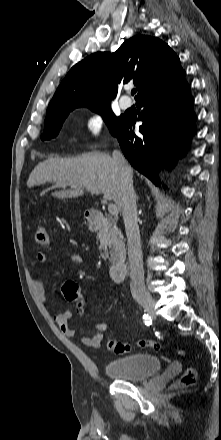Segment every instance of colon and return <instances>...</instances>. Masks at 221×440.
<instances>
[{
  "label": "colon",
  "instance_id": "colon-1",
  "mask_svg": "<svg viewBox=\"0 0 221 440\" xmlns=\"http://www.w3.org/2000/svg\"><path fill=\"white\" fill-rule=\"evenodd\" d=\"M35 243L43 248L50 246V237L47 229L44 226H39L35 231ZM63 297L69 302H75L79 311L83 310L85 301L76 283L72 281H66L62 285ZM137 345L141 348H150L153 350H161L162 344L149 339H141L137 342ZM107 347L109 350L117 354L127 353L131 350V345L126 342H121L117 339L109 337L107 339ZM180 354H184L183 350L179 351ZM196 382V371L194 368H188L180 377L177 385L181 388H188Z\"/></svg>",
  "mask_w": 221,
  "mask_h": 440
}]
</instances>
